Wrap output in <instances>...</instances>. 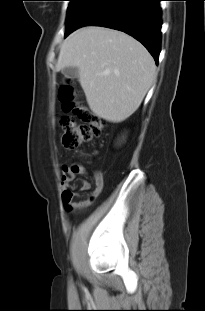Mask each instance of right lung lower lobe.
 Returning a JSON list of instances; mask_svg holds the SVG:
<instances>
[{"instance_id": "98d812e1", "label": "right lung lower lobe", "mask_w": 205, "mask_h": 311, "mask_svg": "<svg viewBox=\"0 0 205 311\" xmlns=\"http://www.w3.org/2000/svg\"><path fill=\"white\" fill-rule=\"evenodd\" d=\"M160 1L90 0L66 35L87 25L120 30L140 41L158 63L162 24Z\"/></svg>"}]
</instances>
